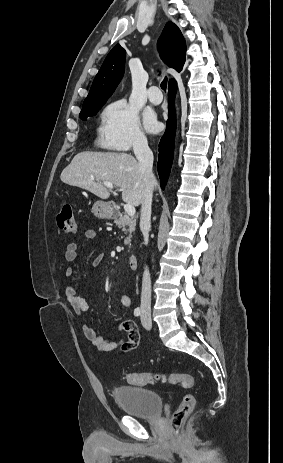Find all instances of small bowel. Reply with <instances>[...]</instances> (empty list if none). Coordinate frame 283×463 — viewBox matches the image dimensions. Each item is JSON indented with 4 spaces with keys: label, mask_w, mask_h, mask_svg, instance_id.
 <instances>
[{
    "label": "small bowel",
    "mask_w": 283,
    "mask_h": 463,
    "mask_svg": "<svg viewBox=\"0 0 283 463\" xmlns=\"http://www.w3.org/2000/svg\"><path fill=\"white\" fill-rule=\"evenodd\" d=\"M97 233L93 229H89L85 232V238L87 240H95ZM79 245L75 242H70L64 251V257L68 262H74L78 256ZM104 260V254H99L95 256L92 260L93 266H98ZM74 276V269L68 267L65 270V277L68 280V284L64 289V294L71 305L72 309L77 314H83L88 309V304L83 297L76 293L74 286L70 283L71 279ZM121 305L125 309H130L131 299L126 294H121L119 297ZM83 333L89 342L101 353L110 352L117 348H121L125 352L132 351L137 348L139 344V333L135 322L131 319H126L122 321L118 327V332H125V337H119L118 339L112 340L106 338L99 333H97L92 327L87 324H83Z\"/></svg>",
    "instance_id": "obj_1"
}]
</instances>
